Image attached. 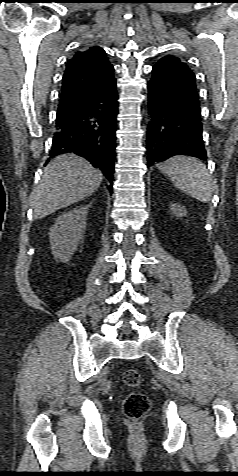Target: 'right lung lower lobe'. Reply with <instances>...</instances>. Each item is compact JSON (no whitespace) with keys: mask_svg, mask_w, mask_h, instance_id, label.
<instances>
[{"mask_svg":"<svg viewBox=\"0 0 238 476\" xmlns=\"http://www.w3.org/2000/svg\"><path fill=\"white\" fill-rule=\"evenodd\" d=\"M117 113L114 78L106 88L84 103L57 112L50 156L68 152L80 155L99 168L112 183Z\"/></svg>","mask_w":238,"mask_h":476,"instance_id":"right-lung-lower-lobe-1","label":"right lung lower lobe"}]
</instances>
